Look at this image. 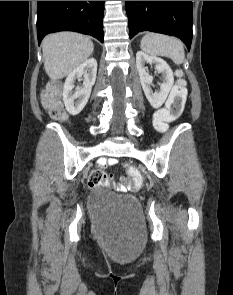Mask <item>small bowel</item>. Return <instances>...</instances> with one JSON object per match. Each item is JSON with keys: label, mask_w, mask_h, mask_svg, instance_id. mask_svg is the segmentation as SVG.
<instances>
[{"label": "small bowel", "mask_w": 233, "mask_h": 295, "mask_svg": "<svg viewBox=\"0 0 233 295\" xmlns=\"http://www.w3.org/2000/svg\"><path fill=\"white\" fill-rule=\"evenodd\" d=\"M117 163V160L114 159V158H111V159H108L106 161V165H115ZM116 189L119 191V192H125L126 191V187L123 186V185H117Z\"/></svg>", "instance_id": "1"}]
</instances>
